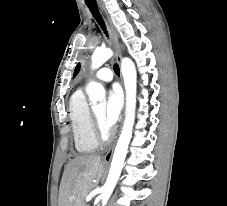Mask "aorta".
<instances>
[{"instance_id": "obj_1", "label": "aorta", "mask_w": 227, "mask_h": 206, "mask_svg": "<svg viewBox=\"0 0 227 206\" xmlns=\"http://www.w3.org/2000/svg\"><path fill=\"white\" fill-rule=\"evenodd\" d=\"M112 56L113 52L111 49H96L91 58V68L98 69ZM121 73L124 79V86L126 91L125 120L121 135L114 151L109 174L103 187V192L101 194L102 206H106L120 177L128 151V146L132 137V130L135 121L137 72L134 63L130 58L122 59ZM86 93L91 102H97L104 98L105 89L100 83L91 81L87 85Z\"/></svg>"}]
</instances>
